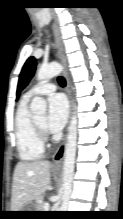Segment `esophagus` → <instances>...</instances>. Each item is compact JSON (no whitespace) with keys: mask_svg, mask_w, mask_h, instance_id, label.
Returning <instances> with one entry per match:
<instances>
[{"mask_svg":"<svg viewBox=\"0 0 123 219\" xmlns=\"http://www.w3.org/2000/svg\"><path fill=\"white\" fill-rule=\"evenodd\" d=\"M53 33H54V38H55V43H56V48H57V55L62 63L63 67L66 68L67 61H66V55H65V50H64V44L61 36L60 29L56 23H53ZM65 77H66V92L69 100V111H71V96H70V84L69 80L67 78L66 72H64ZM66 136L63 138L62 142L59 144L57 147L54 155H53V165L55 167H61L62 165V160L64 157L65 153V146H66Z\"/></svg>","mask_w":123,"mask_h":219,"instance_id":"1","label":"esophagus"}]
</instances>
